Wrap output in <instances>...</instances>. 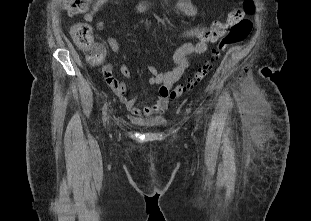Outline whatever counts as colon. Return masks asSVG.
<instances>
[{
  "instance_id": "5ec220e1",
  "label": "colon",
  "mask_w": 311,
  "mask_h": 221,
  "mask_svg": "<svg viewBox=\"0 0 311 221\" xmlns=\"http://www.w3.org/2000/svg\"><path fill=\"white\" fill-rule=\"evenodd\" d=\"M92 0H67L59 1V8H63L64 12H70L73 17H85V6L83 4H91ZM245 12H248V17H256V10L252 0H244ZM241 13L238 10L229 13L227 19L222 22H214L206 33L202 36V41H213L214 34H219V46L213 51V59H217L219 51L226 46H233L241 43L250 33L251 23L241 21L234 26L232 33L229 36H224V31L227 30L228 24H232L236 18H240ZM71 37L76 46L83 51L91 52L90 59L95 65L103 64L106 51L103 47H95L93 30L89 23L79 22L70 27ZM211 63L205 62L186 83L177 85L170 93V98L175 99L178 96L185 94L198 85L210 72ZM107 71H105L106 73Z\"/></svg>"
}]
</instances>
